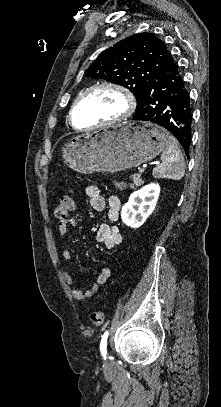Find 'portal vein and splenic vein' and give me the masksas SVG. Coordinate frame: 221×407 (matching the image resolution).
Returning a JSON list of instances; mask_svg holds the SVG:
<instances>
[{
    "label": "portal vein and splenic vein",
    "mask_w": 221,
    "mask_h": 407,
    "mask_svg": "<svg viewBox=\"0 0 221 407\" xmlns=\"http://www.w3.org/2000/svg\"><path fill=\"white\" fill-rule=\"evenodd\" d=\"M158 163H159V162H157L156 164H158ZM145 169H146V166H143L142 168L139 169V172H140V173H144Z\"/></svg>",
    "instance_id": "portal-vein-and-splenic-vein-1"
}]
</instances>
